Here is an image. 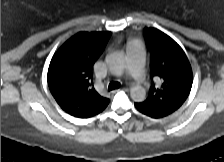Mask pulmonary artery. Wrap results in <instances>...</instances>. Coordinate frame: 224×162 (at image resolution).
Wrapping results in <instances>:
<instances>
[{"label":"pulmonary artery","instance_id":"obj_1","mask_svg":"<svg viewBox=\"0 0 224 162\" xmlns=\"http://www.w3.org/2000/svg\"><path fill=\"white\" fill-rule=\"evenodd\" d=\"M126 73L136 80L144 78L142 46L138 42L127 46Z\"/></svg>","mask_w":224,"mask_h":162}]
</instances>
